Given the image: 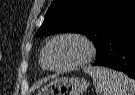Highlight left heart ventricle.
I'll use <instances>...</instances> for the list:
<instances>
[{"instance_id":"b2bd125f","label":"left heart ventricle","mask_w":135,"mask_h":95,"mask_svg":"<svg viewBox=\"0 0 135 95\" xmlns=\"http://www.w3.org/2000/svg\"><path fill=\"white\" fill-rule=\"evenodd\" d=\"M86 55L84 45L75 39H62L55 42L48 55L51 67H66L79 62Z\"/></svg>"}]
</instances>
